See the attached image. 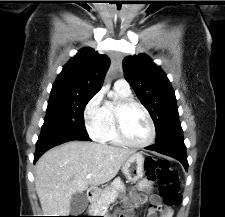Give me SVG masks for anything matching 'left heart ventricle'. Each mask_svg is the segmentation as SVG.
<instances>
[{
    "mask_svg": "<svg viewBox=\"0 0 225 217\" xmlns=\"http://www.w3.org/2000/svg\"><path fill=\"white\" fill-rule=\"evenodd\" d=\"M123 127L127 138L133 143H144L150 137L149 122L139 107L133 106L125 111Z\"/></svg>",
    "mask_w": 225,
    "mask_h": 217,
    "instance_id": "1",
    "label": "left heart ventricle"
}]
</instances>
